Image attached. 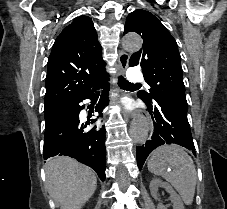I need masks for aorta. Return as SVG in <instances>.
<instances>
[{
    "instance_id": "762f6f07",
    "label": "aorta",
    "mask_w": 227,
    "mask_h": 209,
    "mask_svg": "<svg viewBox=\"0 0 227 209\" xmlns=\"http://www.w3.org/2000/svg\"><path fill=\"white\" fill-rule=\"evenodd\" d=\"M123 47L130 52L138 51L142 46V40L137 34H129L123 39ZM130 135L137 144L146 142L149 136V126L144 117L139 116L132 124Z\"/></svg>"
}]
</instances>
